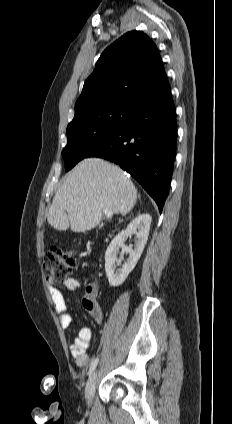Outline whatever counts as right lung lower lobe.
<instances>
[{
  "label": "right lung lower lobe",
  "mask_w": 232,
  "mask_h": 424,
  "mask_svg": "<svg viewBox=\"0 0 232 424\" xmlns=\"http://www.w3.org/2000/svg\"><path fill=\"white\" fill-rule=\"evenodd\" d=\"M176 139L175 106L166 79L134 103L127 122L86 158L99 157L119 164L155 200L161 213L169 192Z\"/></svg>",
  "instance_id": "obj_1"
}]
</instances>
